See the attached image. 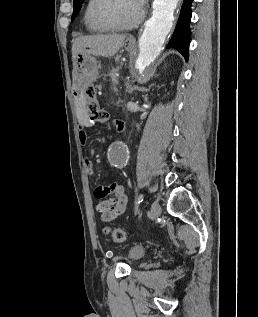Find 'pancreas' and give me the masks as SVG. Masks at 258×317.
Instances as JSON below:
<instances>
[{"mask_svg":"<svg viewBox=\"0 0 258 317\" xmlns=\"http://www.w3.org/2000/svg\"><path fill=\"white\" fill-rule=\"evenodd\" d=\"M110 81L112 83V89L117 91L119 89L118 78L112 77Z\"/></svg>","mask_w":258,"mask_h":317,"instance_id":"cf45deb5","label":"pancreas"}]
</instances>
